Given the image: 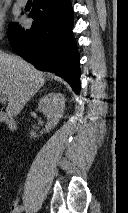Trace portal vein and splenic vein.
Listing matches in <instances>:
<instances>
[{
	"label": "portal vein and splenic vein",
	"mask_w": 128,
	"mask_h": 213,
	"mask_svg": "<svg viewBox=\"0 0 128 213\" xmlns=\"http://www.w3.org/2000/svg\"><path fill=\"white\" fill-rule=\"evenodd\" d=\"M5 101H6V98L0 95V102H5Z\"/></svg>",
	"instance_id": "obj_1"
}]
</instances>
